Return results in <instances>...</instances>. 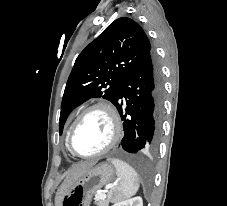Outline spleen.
<instances>
[{
	"instance_id": "spleen-1",
	"label": "spleen",
	"mask_w": 227,
	"mask_h": 206,
	"mask_svg": "<svg viewBox=\"0 0 227 206\" xmlns=\"http://www.w3.org/2000/svg\"><path fill=\"white\" fill-rule=\"evenodd\" d=\"M110 162L115 166L120 182L112 189L110 198L117 202L136 194L139 189V179L136 171L127 163L112 158Z\"/></svg>"
}]
</instances>
